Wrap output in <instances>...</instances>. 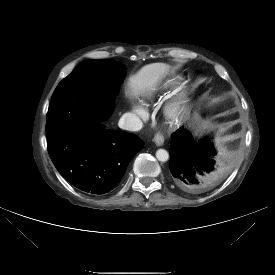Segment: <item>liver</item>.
Masks as SVG:
<instances>
[{
  "label": "liver",
  "instance_id": "1",
  "mask_svg": "<svg viewBox=\"0 0 275 275\" xmlns=\"http://www.w3.org/2000/svg\"><path fill=\"white\" fill-rule=\"evenodd\" d=\"M169 66L164 63H152L142 67L128 81L127 93L131 96H145L153 92Z\"/></svg>",
  "mask_w": 275,
  "mask_h": 275
}]
</instances>
